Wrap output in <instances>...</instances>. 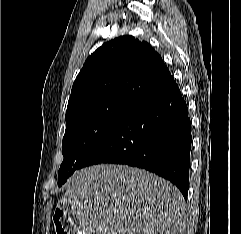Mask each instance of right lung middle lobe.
I'll return each mask as SVG.
<instances>
[{
    "label": "right lung middle lobe",
    "mask_w": 241,
    "mask_h": 234,
    "mask_svg": "<svg viewBox=\"0 0 241 234\" xmlns=\"http://www.w3.org/2000/svg\"><path fill=\"white\" fill-rule=\"evenodd\" d=\"M133 106V103L115 100L85 106L66 115V130L62 142L64 159L58 172V186H62L80 168L88 152Z\"/></svg>",
    "instance_id": "right-lung-middle-lobe-1"
}]
</instances>
